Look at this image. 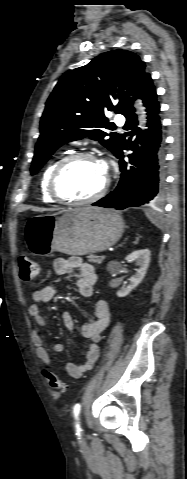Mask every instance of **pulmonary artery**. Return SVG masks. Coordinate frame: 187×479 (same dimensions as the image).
<instances>
[{
	"label": "pulmonary artery",
	"instance_id": "pulmonary-artery-1",
	"mask_svg": "<svg viewBox=\"0 0 187 479\" xmlns=\"http://www.w3.org/2000/svg\"><path fill=\"white\" fill-rule=\"evenodd\" d=\"M114 122L119 125V126H122L124 124V116L121 115V114H117L115 117H114Z\"/></svg>",
	"mask_w": 187,
	"mask_h": 479
}]
</instances>
